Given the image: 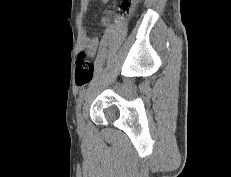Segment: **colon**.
<instances>
[{
    "instance_id": "1",
    "label": "colon",
    "mask_w": 231,
    "mask_h": 177,
    "mask_svg": "<svg viewBox=\"0 0 231 177\" xmlns=\"http://www.w3.org/2000/svg\"><path fill=\"white\" fill-rule=\"evenodd\" d=\"M137 0H127L123 4V11L127 12L136 3ZM94 76V64L89 60L87 52H79L76 60L75 81L78 86H84L90 83Z\"/></svg>"
}]
</instances>
